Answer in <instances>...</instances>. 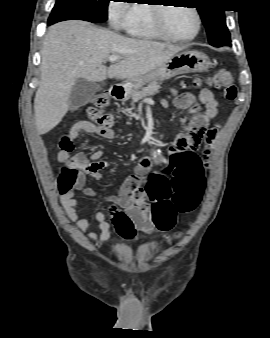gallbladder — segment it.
Instances as JSON below:
<instances>
[{"label": "gallbladder", "mask_w": 270, "mask_h": 338, "mask_svg": "<svg viewBox=\"0 0 270 338\" xmlns=\"http://www.w3.org/2000/svg\"><path fill=\"white\" fill-rule=\"evenodd\" d=\"M100 88V85L96 82H89L84 79L77 80L69 95L70 109L76 110L86 105Z\"/></svg>", "instance_id": "obj_1"}]
</instances>
